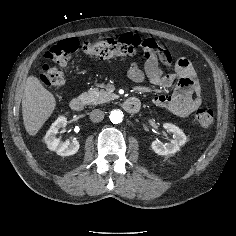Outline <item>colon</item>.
<instances>
[{
	"mask_svg": "<svg viewBox=\"0 0 236 236\" xmlns=\"http://www.w3.org/2000/svg\"><path fill=\"white\" fill-rule=\"evenodd\" d=\"M79 47L75 38L62 40L52 46L46 53L47 60L41 68L40 79L47 87H58L64 84L65 75L61 67L65 66ZM135 45L124 43L113 38H101L95 41H88L83 44V52L90 58H130L135 54ZM155 51L146 50L145 58L155 55ZM196 120L205 129L211 128L214 123V113L211 109L202 108L196 113Z\"/></svg>",
	"mask_w": 236,
	"mask_h": 236,
	"instance_id": "obj_1",
	"label": "colon"
}]
</instances>
